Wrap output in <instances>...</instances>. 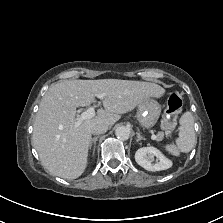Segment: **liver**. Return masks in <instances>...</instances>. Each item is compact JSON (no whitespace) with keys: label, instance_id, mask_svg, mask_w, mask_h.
Segmentation results:
<instances>
[{"label":"liver","instance_id":"liver-1","mask_svg":"<svg viewBox=\"0 0 223 223\" xmlns=\"http://www.w3.org/2000/svg\"><path fill=\"white\" fill-rule=\"evenodd\" d=\"M98 94L104 95V109H98L93 118L75 126L76 109L94 103ZM164 94L158 84L141 81H60L41 99L33 123L32 146L51 175L74 180L87 167L93 125L105 124L110 128L121 114L134 110L148 98Z\"/></svg>","mask_w":223,"mask_h":223}]
</instances>
